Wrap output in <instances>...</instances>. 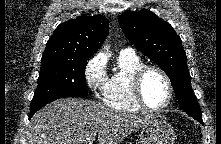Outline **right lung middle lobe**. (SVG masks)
Masks as SVG:
<instances>
[{"label":"right lung middle lobe","instance_id":"1","mask_svg":"<svg viewBox=\"0 0 221 144\" xmlns=\"http://www.w3.org/2000/svg\"><path fill=\"white\" fill-rule=\"evenodd\" d=\"M87 60H41L38 86L30 112L64 97H86L85 68Z\"/></svg>","mask_w":221,"mask_h":144}]
</instances>
